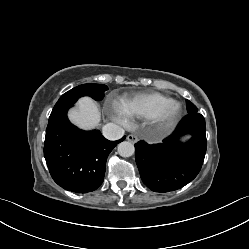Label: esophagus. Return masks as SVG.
Masks as SVG:
<instances>
[{
    "mask_svg": "<svg viewBox=\"0 0 249 249\" xmlns=\"http://www.w3.org/2000/svg\"><path fill=\"white\" fill-rule=\"evenodd\" d=\"M127 140L132 143H136L138 141V137L134 134H130L127 136Z\"/></svg>",
    "mask_w": 249,
    "mask_h": 249,
    "instance_id": "1",
    "label": "esophagus"
}]
</instances>
